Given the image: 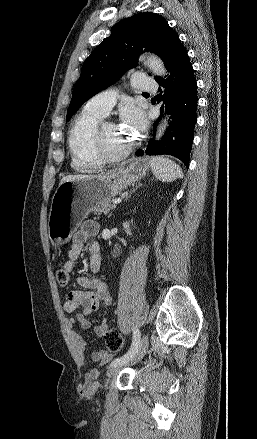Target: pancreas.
Here are the masks:
<instances>
[{"label":"pancreas","instance_id":"1","mask_svg":"<svg viewBox=\"0 0 257 439\" xmlns=\"http://www.w3.org/2000/svg\"><path fill=\"white\" fill-rule=\"evenodd\" d=\"M114 208H116V205L111 204V199H109L99 202L91 209V211L94 212V214H107Z\"/></svg>","mask_w":257,"mask_h":439}]
</instances>
